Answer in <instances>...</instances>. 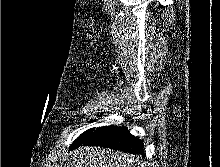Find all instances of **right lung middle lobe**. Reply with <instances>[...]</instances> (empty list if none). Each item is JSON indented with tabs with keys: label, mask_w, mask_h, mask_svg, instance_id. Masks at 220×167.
I'll list each match as a JSON object with an SVG mask.
<instances>
[{
	"label": "right lung middle lobe",
	"mask_w": 220,
	"mask_h": 167,
	"mask_svg": "<svg viewBox=\"0 0 220 167\" xmlns=\"http://www.w3.org/2000/svg\"><path fill=\"white\" fill-rule=\"evenodd\" d=\"M95 128L89 129L86 132H84L83 134H81L75 141L74 143L71 145L70 150H73L77 147H79L93 132H94Z\"/></svg>",
	"instance_id": "obj_1"
}]
</instances>
